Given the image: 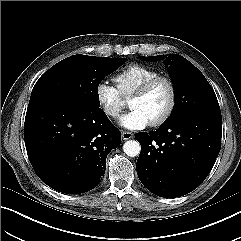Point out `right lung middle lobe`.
<instances>
[{
    "instance_id": "1",
    "label": "right lung middle lobe",
    "mask_w": 241,
    "mask_h": 241,
    "mask_svg": "<svg viewBox=\"0 0 241 241\" xmlns=\"http://www.w3.org/2000/svg\"><path fill=\"white\" fill-rule=\"evenodd\" d=\"M125 61L126 58L87 55L68 57L52 66L39 78L32 90L29 103L60 98L85 109H98L100 82Z\"/></svg>"
}]
</instances>
